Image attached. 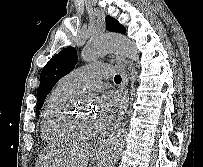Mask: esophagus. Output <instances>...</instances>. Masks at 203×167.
Listing matches in <instances>:
<instances>
[{"mask_svg": "<svg viewBox=\"0 0 203 167\" xmlns=\"http://www.w3.org/2000/svg\"><path fill=\"white\" fill-rule=\"evenodd\" d=\"M115 60H116L117 66L119 68L121 77H122L120 91L123 94L124 105H123V110H122L121 114L119 115L116 123L114 124L112 130L116 129L119 126L125 113L127 112L128 106H129V91H128L129 75L127 73L126 62L124 61L123 58H121L118 55L115 57ZM107 136H108L107 134L103 135L102 138H100L98 140V142L95 144L94 150L96 152H100L104 148Z\"/></svg>", "mask_w": 203, "mask_h": 167, "instance_id": "34e87169", "label": "esophagus"}]
</instances>
